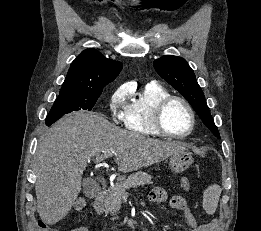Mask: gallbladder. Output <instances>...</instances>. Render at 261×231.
<instances>
[{"instance_id":"1","label":"gallbladder","mask_w":261,"mask_h":231,"mask_svg":"<svg viewBox=\"0 0 261 231\" xmlns=\"http://www.w3.org/2000/svg\"><path fill=\"white\" fill-rule=\"evenodd\" d=\"M100 187L96 182H94L91 179H86L85 180V194L86 196H91L93 194H97L99 191Z\"/></svg>"}]
</instances>
